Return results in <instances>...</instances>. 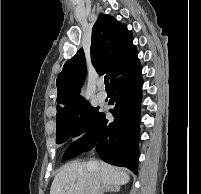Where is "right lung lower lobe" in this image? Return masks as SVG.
<instances>
[{
    "label": "right lung lower lobe",
    "mask_w": 201,
    "mask_h": 194,
    "mask_svg": "<svg viewBox=\"0 0 201 194\" xmlns=\"http://www.w3.org/2000/svg\"><path fill=\"white\" fill-rule=\"evenodd\" d=\"M142 67L139 60L125 73L111 82L113 96L109 104L114 116L113 121L100 113L87 134L74 142L66 153L75 150L76 154L93 147L107 163L127 167L135 174L138 171V140L141 102ZM65 153V154H66Z\"/></svg>",
    "instance_id": "right-lung-lower-lobe-1"
}]
</instances>
